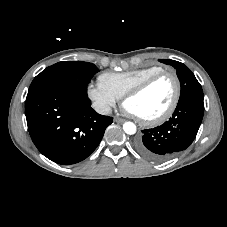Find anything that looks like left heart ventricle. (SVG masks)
I'll use <instances>...</instances> for the list:
<instances>
[{"label":"left heart ventricle","mask_w":227,"mask_h":227,"mask_svg":"<svg viewBox=\"0 0 227 227\" xmlns=\"http://www.w3.org/2000/svg\"><path fill=\"white\" fill-rule=\"evenodd\" d=\"M175 92L174 81L163 76L143 93L130 98L125 103L135 116L150 119L163 113L170 105Z\"/></svg>","instance_id":"b2bd125f"}]
</instances>
